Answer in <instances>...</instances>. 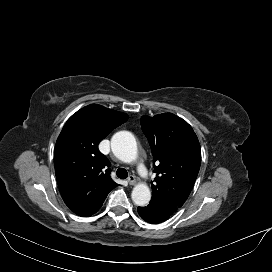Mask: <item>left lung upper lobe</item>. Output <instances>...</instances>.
<instances>
[{
    "label": "left lung upper lobe",
    "instance_id": "obj_1",
    "mask_svg": "<svg viewBox=\"0 0 272 272\" xmlns=\"http://www.w3.org/2000/svg\"><path fill=\"white\" fill-rule=\"evenodd\" d=\"M141 127L152 149L156 173L149 205L172 215L184 204L197 178L201 164L198 138L185 120L171 113L142 116Z\"/></svg>",
    "mask_w": 272,
    "mask_h": 272
}]
</instances>
